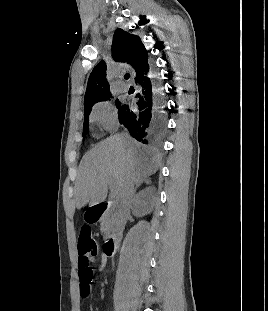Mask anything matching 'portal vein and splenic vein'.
<instances>
[{"label":"portal vein and splenic vein","instance_id":"obj_1","mask_svg":"<svg viewBox=\"0 0 268 311\" xmlns=\"http://www.w3.org/2000/svg\"><path fill=\"white\" fill-rule=\"evenodd\" d=\"M110 188H111V192L114 193L117 191L116 189V185L113 181L110 182Z\"/></svg>","mask_w":268,"mask_h":311}]
</instances>
